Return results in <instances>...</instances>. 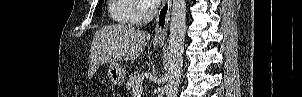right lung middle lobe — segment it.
Wrapping results in <instances>:
<instances>
[{
    "label": "right lung middle lobe",
    "instance_id": "dd1d6c3e",
    "mask_svg": "<svg viewBox=\"0 0 302 97\" xmlns=\"http://www.w3.org/2000/svg\"><path fill=\"white\" fill-rule=\"evenodd\" d=\"M103 1H104V0H102V1L99 2V7L102 5Z\"/></svg>",
    "mask_w": 302,
    "mask_h": 97
}]
</instances>
